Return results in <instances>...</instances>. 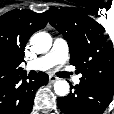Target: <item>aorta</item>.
I'll return each mask as SVG.
<instances>
[{
	"mask_svg": "<svg viewBox=\"0 0 114 114\" xmlns=\"http://www.w3.org/2000/svg\"><path fill=\"white\" fill-rule=\"evenodd\" d=\"M30 43L33 50L41 54L49 51L52 46V38L46 32H39L31 37ZM54 90L57 95L66 96L69 93V83L65 80H58L54 83Z\"/></svg>",
	"mask_w": 114,
	"mask_h": 114,
	"instance_id": "obj_1",
	"label": "aorta"
}]
</instances>
